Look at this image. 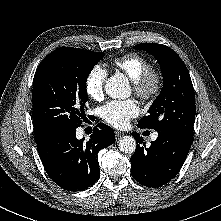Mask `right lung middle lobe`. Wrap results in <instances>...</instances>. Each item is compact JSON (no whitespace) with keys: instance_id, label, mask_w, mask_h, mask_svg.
I'll return each mask as SVG.
<instances>
[{"instance_id":"obj_1","label":"right lung middle lobe","mask_w":221,"mask_h":221,"mask_svg":"<svg viewBox=\"0 0 221 221\" xmlns=\"http://www.w3.org/2000/svg\"><path fill=\"white\" fill-rule=\"evenodd\" d=\"M103 52L60 47L38 66L33 79L34 131L74 129L86 118V81Z\"/></svg>"}]
</instances>
